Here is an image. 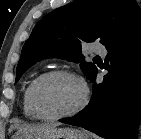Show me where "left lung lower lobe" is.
Wrapping results in <instances>:
<instances>
[{
    "instance_id": "1",
    "label": "left lung lower lobe",
    "mask_w": 141,
    "mask_h": 139,
    "mask_svg": "<svg viewBox=\"0 0 141 139\" xmlns=\"http://www.w3.org/2000/svg\"><path fill=\"white\" fill-rule=\"evenodd\" d=\"M108 73L93 85V95L80 113L60 122L83 127L103 138L136 139L141 103V21L105 45ZM97 69L90 79L94 82Z\"/></svg>"
}]
</instances>
